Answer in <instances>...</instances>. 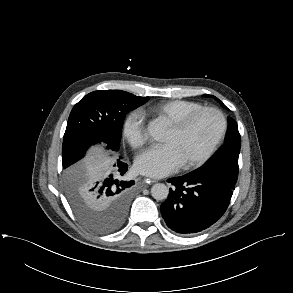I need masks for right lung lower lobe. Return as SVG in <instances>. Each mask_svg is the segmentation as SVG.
Here are the masks:
<instances>
[{
    "instance_id": "right-lung-lower-lobe-1",
    "label": "right lung lower lobe",
    "mask_w": 293,
    "mask_h": 293,
    "mask_svg": "<svg viewBox=\"0 0 293 293\" xmlns=\"http://www.w3.org/2000/svg\"><path fill=\"white\" fill-rule=\"evenodd\" d=\"M127 169L128 165L119 157L106 173L95 175L84 187V197L93 209L100 213L122 217V223L127 214L130 193L134 184V181L118 179Z\"/></svg>"
}]
</instances>
